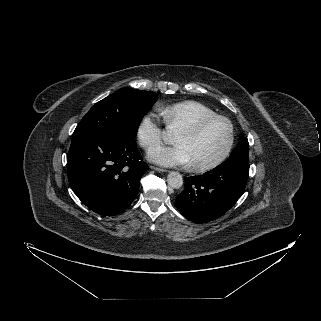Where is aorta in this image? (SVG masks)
Segmentation results:
<instances>
[{"instance_id":"aorta-1","label":"aorta","mask_w":321,"mask_h":321,"mask_svg":"<svg viewBox=\"0 0 321 321\" xmlns=\"http://www.w3.org/2000/svg\"><path fill=\"white\" fill-rule=\"evenodd\" d=\"M168 185L174 189H178L183 185V177L179 172L172 171L167 176Z\"/></svg>"}]
</instances>
